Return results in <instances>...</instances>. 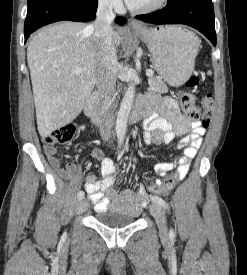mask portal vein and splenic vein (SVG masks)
<instances>
[{"instance_id": "1", "label": "portal vein and splenic vein", "mask_w": 247, "mask_h": 275, "mask_svg": "<svg viewBox=\"0 0 247 275\" xmlns=\"http://www.w3.org/2000/svg\"><path fill=\"white\" fill-rule=\"evenodd\" d=\"M73 71L76 72V73H78V72H82L83 69L80 68V67H76V68L73 69ZM153 75H154V71L153 70H151V69L146 70V76L147 77H152Z\"/></svg>"}]
</instances>
